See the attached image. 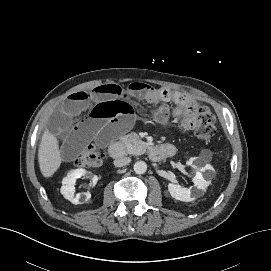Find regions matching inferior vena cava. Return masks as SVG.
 Returning <instances> with one entry per match:
<instances>
[{"label":"inferior vena cava","instance_id":"inferior-vena-cava-1","mask_svg":"<svg viewBox=\"0 0 271 271\" xmlns=\"http://www.w3.org/2000/svg\"><path fill=\"white\" fill-rule=\"evenodd\" d=\"M130 162H131V159L129 157H122V158L114 160V165L116 167H121V166L129 164Z\"/></svg>","mask_w":271,"mask_h":271}]
</instances>
